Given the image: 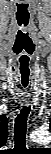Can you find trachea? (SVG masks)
I'll return each instance as SVG.
<instances>
[{
  "label": "trachea",
  "instance_id": "1",
  "mask_svg": "<svg viewBox=\"0 0 51 154\" xmlns=\"http://www.w3.org/2000/svg\"><path fill=\"white\" fill-rule=\"evenodd\" d=\"M30 110L24 107L20 114L15 119L14 134L15 139L22 142L25 139L26 129H27V118Z\"/></svg>",
  "mask_w": 51,
  "mask_h": 154
}]
</instances>
